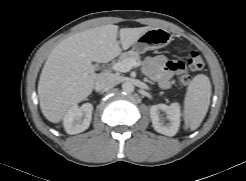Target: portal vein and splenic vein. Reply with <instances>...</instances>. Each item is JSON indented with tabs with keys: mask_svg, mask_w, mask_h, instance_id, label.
I'll list each match as a JSON object with an SVG mask.
<instances>
[{
	"mask_svg": "<svg viewBox=\"0 0 246 181\" xmlns=\"http://www.w3.org/2000/svg\"><path fill=\"white\" fill-rule=\"evenodd\" d=\"M138 66L137 62L132 59L124 60L122 62L115 63L112 69L118 72L126 73L129 72L133 67Z\"/></svg>",
	"mask_w": 246,
	"mask_h": 181,
	"instance_id": "portal-vein-and-splenic-vein-1",
	"label": "portal vein and splenic vein"
}]
</instances>
